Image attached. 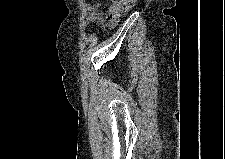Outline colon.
Wrapping results in <instances>:
<instances>
[{"mask_svg":"<svg viewBox=\"0 0 225 159\" xmlns=\"http://www.w3.org/2000/svg\"><path fill=\"white\" fill-rule=\"evenodd\" d=\"M132 0H115L113 10L114 13L112 14L115 17L118 13L126 11L131 6Z\"/></svg>","mask_w":225,"mask_h":159,"instance_id":"1","label":"colon"}]
</instances>
